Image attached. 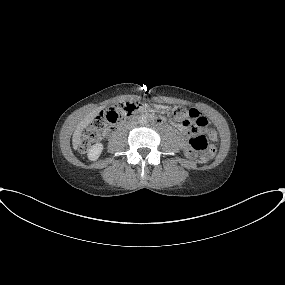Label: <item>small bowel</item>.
Masks as SVG:
<instances>
[{
  "label": "small bowel",
  "instance_id": "small-bowel-1",
  "mask_svg": "<svg viewBox=\"0 0 285 285\" xmlns=\"http://www.w3.org/2000/svg\"><path fill=\"white\" fill-rule=\"evenodd\" d=\"M199 116H201V114H200V112H199L197 109H191V110H189V112H188L186 115H183V116H182L181 120H182V122H183V121H185V119H187V118H188V119H194V118L199 117ZM179 141H180L181 148H182L183 150H185V136H184V135L180 136V137H179ZM184 152H185V155H186V156H188V157H194V154L188 153V152H186V151H184Z\"/></svg>",
  "mask_w": 285,
  "mask_h": 285
}]
</instances>
